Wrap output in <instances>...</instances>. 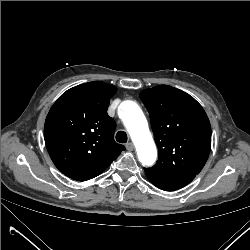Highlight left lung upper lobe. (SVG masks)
Masks as SVG:
<instances>
[{"instance_id": "obj_1", "label": "left lung upper lobe", "mask_w": 250, "mask_h": 250, "mask_svg": "<svg viewBox=\"0 0 250 250\" xmlns=\"http://www.w3.org/2000/svg\"><path fill=\"white\" fill-rule=\"evenodd\" d=\"M151 120L158 161L149 171L197 175L211 148V126L202 106L182 90L159 85L140 93Z\"/></svg>"}]
</instances>
